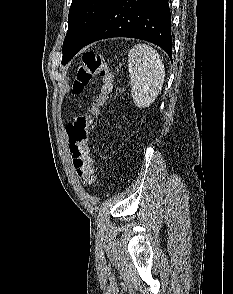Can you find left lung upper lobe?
Listing matches in <instances>:
<instances>
[{
	"label": "left lung upper lobe",
	"instance_id": "obj_1",
	"mask_svg": "<svg viewBox=\"0 0 233 294\" xmlns=\"http://www.w3.org/2000/svg\"><path fill=\"white\" fill-rule=\"evenodd\" d=\"M110 0H72L68 16V31L64 39L62 63H68L102 15Z\"/></svg>",
	"mask_w": 233,
	"mask_h": 294
}]
</instances>
